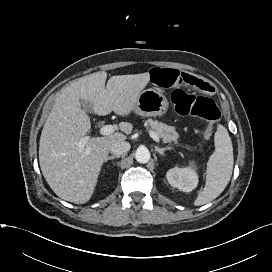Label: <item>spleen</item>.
<instances>
[{"instance_id":"3e777b00","label":"spleen","mask_w":272,"mask_h":272,"mask_svg":"<svg viewBox=\"0 0 272 272\" xmlns=\"http://www.w3.org/2000/svg\"><path fill=\"white\" fill-rule=\"evenodd\" d=\"M215 151L210 156L206 169V184L194 201L195 206L204 205L217 198L226 188L233 171V146L227 129L217 125L214 136Z\"/></svg>"}]
</instances>
